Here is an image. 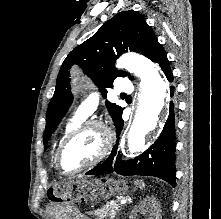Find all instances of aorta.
Instances as JSON below:
<instances>
[{"label": "aorta", "instance_id": "obj_1", "mask_svg": "<svg viewBox=\"0 0 221 219\" xmlns=\"http://www.w3.org/2000/svg\"><path fill=\"white\" fill-rule=\"evenodd\" d=\"M117 66L140 78V92L131 128L128 133V150L136 153L143 149L145 136L152 131L166 106L167 83L160 74L159 67L146 57L127 53L120 57ZM75 79L78 74L73 73Z\"/></svg>", "mask_w": 221, "mask_h": 219}]
</instances>
